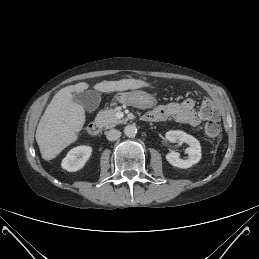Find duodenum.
Wrapping results in <instances>:
<instances>
[{
	"label": "duodenum",
	"mask_w": 259,
	"mask_h": 259,
	"mask_svg": "<svg viewBox=\"0 0 259 259\" xmlns=\"http://www.w3.org/2000/svg\"><path fill=\"white\" fill-rule=\"evenodd\" d=\"M142 120L143 121H148L150 120V117L147 116V115H144L142 117ZM87 130H88V133L91 135V136H98L101 132V125L98 121H92L89 123L88 127H87Z\"/></svg>",
	"instance_id": "obj_1"
}]
</instances>
